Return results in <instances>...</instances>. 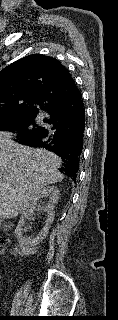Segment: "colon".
<instances>
[{"instance_id":"obj_1","label":"colon","mask_w":118,"mask_h":320,"mask_svg":"<svg viewBox=\"0 0 118 320\" xmlns=\"http://www.w3.org/2000/svg\"><path fill=\"white\" fill-rule=\"evenodd\" d=\"M5 244H6V240L3 238H0V254L4 251Z\"/></svg>"}]
</instances>
